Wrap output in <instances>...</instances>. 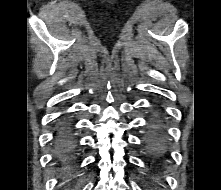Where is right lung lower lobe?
Here are the masks:
<instances>
[{"instance_id":"right-lung-lower-lobe-1","label":"right lung lower lobe","mask_w":221,"mask_h":190,"mask_svg":"<svg viewBox=\"0 0 221 190\" xmlns=\"http://www.w3.org/2000/svg\"><path fill=\"white\" fill-rule=\"evenodd\" d=\"M55 140L57 159L63 161L68 160L73 150V143L71 129L66 120H63L59 124Z\"/></svg>"}]
</instances>
